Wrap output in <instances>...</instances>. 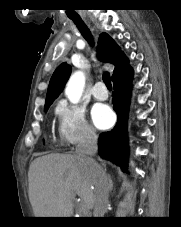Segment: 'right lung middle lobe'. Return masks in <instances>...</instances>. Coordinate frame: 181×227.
Instances as JSON below:
<instances>
[{
    "mask_svg": "<svg viewBox=\"0 0 181 227\" xmlns=\"http://www.w3.org/2000/svg\"><path fill=\"white\" fill-rule=\"evenodd\" d=\"M50 105H51V104H46L44 110L47 111V109L49 108Z\"/></svg>",
    "mask_w": 181,
    "mask_h": 227,
    "instance_id": "obj_1",
    "label": "right lung middle lobe"
}]
</instances>
